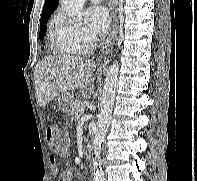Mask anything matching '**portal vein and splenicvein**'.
Listing matches in <instances>:
<instances>
[{
    "label": "portal vein and splenic vein",
    "mask_w": 197,
    "mask_h": 181,
    "mask_svg": "<svg viewBox=\"0 0 197 181\" xmlns=\"http://www.w3.org/2000/svg\"><path fill=\"white\" fill-rule=\"evenodd\" d=\"M79 113H83L84 112V107L83 106H81V107H79Z\"/></svg>",
    "instance_id": "18ae733b"
}]
</instances>
